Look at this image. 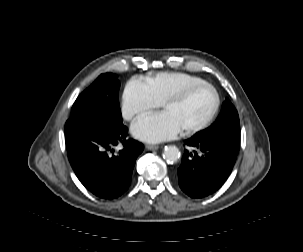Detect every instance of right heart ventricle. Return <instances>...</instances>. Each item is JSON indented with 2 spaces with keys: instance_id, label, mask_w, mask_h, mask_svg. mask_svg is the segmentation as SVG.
<instances>
[{
  "instance_id": "1",
  "label": "right heart ventricle",
  "mask_w": 303,
  "mask_h": 252,
  "mask_svg": "<svg viewBox=\"0 0 303 252\" xmlns=\"http://www.w3.org/2000/svg\"><path fill=\"white\" fill-rule=\"evenodd\" d=\"M196 83L192 77H154L144 83L151 100L162 105L169 99L177 97L191 89Z\"/></svg>"
}]
</instances>
